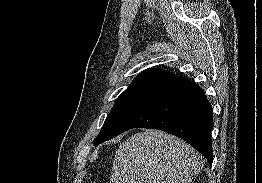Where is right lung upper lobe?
<instances>
[{"label": "right lung upper lobe", "instance_id": "cb5924a9", "mask_svg": "<svg viewBox=\"0 0 262 183\" xmlns=\"http://www.w3.org/2000/svg\"><path fill=\"white\" fill-rule=\"evenodd\" d=\"M178 78V75H175L169 71L147 69L142 71L123 93L137 91H159L161 88Z\"/></svg>", "mask_w": 262, "mask_h": 183}]
</instances>
